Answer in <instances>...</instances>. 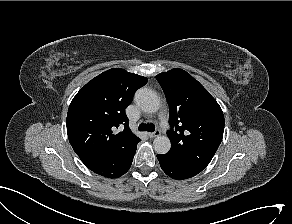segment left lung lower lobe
<instances>
[{
  "label": "left lung lower lobe",
  "mask_w": 292,
  "mask_h": 224,
  "mask_svg": "<svg viewBox=\"0 0 292 224\" xmlns=\"http://www.w3.org/2000/svg\"><path fill=\"white\" fill-rule=\"evenodd\" d=\"M162 170L171 178L183 180L197 175L199 172L188 168L176 159L164 155H157Z\"/></svg>",
  "instance_id": "obj_1"
}]
</instances>
